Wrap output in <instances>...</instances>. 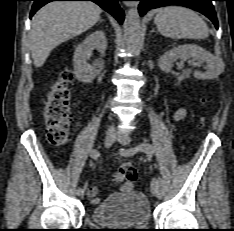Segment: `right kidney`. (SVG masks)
<instances>
[{
	"label": "right kidney",
	"mask_w": 234,
	"mask_h": 231,
	"mask_svg": "<svg viewBox=\"0 0 234 231\" xmlns=\"http://www.w3.org/2000/svg\"><path fill=\"white\" fill-rule=\"evenodd\" d=\"M93 49L99 51L107 49V40L103 31L93 32L75 49L73 56L74 74L80 82L91 83L95 79L96 69L87 62Z\"/></svg>",
	"instance_id": "obj_1"
}]
</instances>
